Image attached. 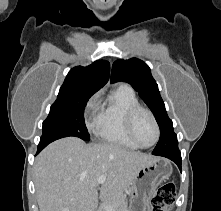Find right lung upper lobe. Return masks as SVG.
Returning a JSON list of instances; mask_svg holds the SVG:
<instances>
[{"label":"right lung upper lobe","mask_w":221,"mask_h":211,"mask_svg":"<svg viewBox=\"0 0 221 211\" xmlns=\"http://www.w3.org/2000/svg\"><path fill=\"white\" fill-rule=\"evenodd\" d=\"M109 72L110 64L106 60H97L87 67H74L66 76L57 99L93 95L107 83Z\"/></svg>","instance_id":"cb5924a9"}]
</instances>
